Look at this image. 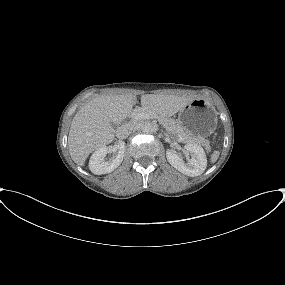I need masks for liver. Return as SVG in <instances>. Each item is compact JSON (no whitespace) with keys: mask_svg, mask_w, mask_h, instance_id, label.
I'll return each instance as SVG.
<instances>
[{"mask_svg":"<svg viewBox=\"0 0 285 285\" xmlns=\"http://www.w3.org/2000/svg\"><path fill=\"white\" fill-rule=\"evenodd\" d=\"M140 99L144 110L163 117L173 116L194 100L168 94H145ZM136 102L132 93L101 95L81 107L72 120L68 135L72 160L83 166L90 153L111 143L115 137L111 123L117 124L129 117Z\"/></svg>","mask_w":285,"mask_h":285,"instance_id":"liver-1","label":"liver"}]
</instances>
